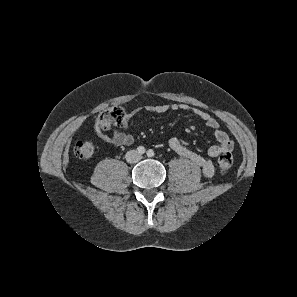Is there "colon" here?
I'll return each mask as SVG.
<instances>
[{
  "mask_svg": "<svg viewBox=\"0 0 297 297\" xmlns=\"http://www.w3.org/2000/svg\"><path fill=\"white\" fill-rule=\"evenodd\" d=\"M126 114L120 107H111L98 116L97 125L103 129H109L113 125H122L125 121ZM94 145L91 141L79 140L74 146V154L80 159H89L94 154ZM233 157L227 152L221 154L218 159V167L222 173H226L232 167Z\"/></svg>",
  "mask_w": 297,
  "mask_h": 297,
  "instance_id": "5ec220e1",
  "label": "colon"
}]
</instances>
